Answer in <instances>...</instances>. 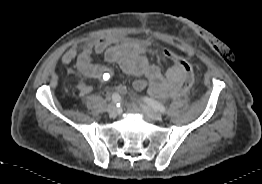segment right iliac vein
<instances>
[{
  "instance_id": "63e3f726",
  "label": "right iliac vein",
  "mask_w": 262,
  "mask_h": 184,
  "mask_svg": "<svg viewBox=\"0 0 262 184\" xmlns=\"http://www.w3.org/2000/svg\"><path fill=\"white\" fill-rule=\"evenodd\" d=\"M107 112L110 116H115L117 114V107L114 104H110L107 107Z\"/></svg>"
}]
</instances>
